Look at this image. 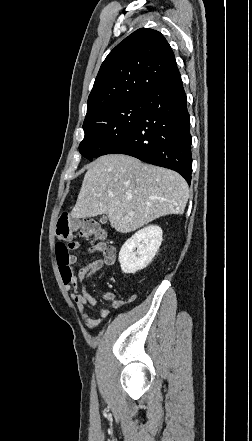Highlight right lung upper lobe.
<instances>
[{
  "label": "right lung upper lobe",
  "instance_id": "right-lung-upper-lobe-1",
  "mask_svg": "<svg viewBox=\"0 0 252 441\" xmlns=\"http://www.w3.org/2000/svg\"><path fill=\"white\" fill-rule=\"evenodd\" d=\"M178 71L164 36L141 28L119 43L102 63L88 98L86 118L145 94Z\"/></svg>",
  "mask_w": 252,
  "mask_h": 441
}]
</instances>
